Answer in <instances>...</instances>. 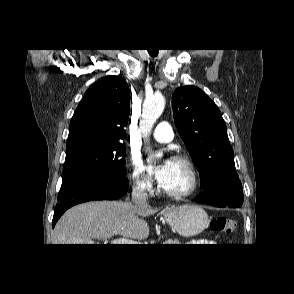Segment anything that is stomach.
<instances>
[{"label":"stomach","mask_w":294,"mask_h":294,"mask_svg":"<svg viewBox=\"0 0 294 294\" xmlns=\"http://www.w3.org/2000/svg\"><path fill=\"white\" fill-rule=\"evenodd\" d=\"M167 223L180 235L192 237L201 233L208 225L207 213L197 205H181L164 212Z\"/></svg>","instance_id":"obj_1"}]
</instances>
